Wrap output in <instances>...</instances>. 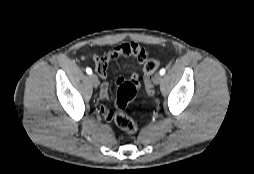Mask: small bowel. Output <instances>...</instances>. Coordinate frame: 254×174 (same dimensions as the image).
Masks as SVG:
<instances>
[{
  "label": "small bowel",
  "mask_w": 254,
  "mask_h": 174,
  "mask_svg": "<svg viewBox=\"0 0 254 174\" xmlns=\"http://www.w3.org/2000/svg\"><path fill=\"white\" fill-rule=\"evenodd\" d=\"M122 56L132 57L136 59L139 64H142L147 58V53L142 47L138 45L130 47V45L128 44H123L109 51L101 57H93V61L96 64L97 71L103 79L100 91V98L103 102V105L101 106V113L106 120H111L113 117V111L106 106V103L108 102L107 68L111 63L117 61ZM129 81L135 83L137 86L139 85L140 77L139 73L136 70L131 73ZM124 82L125 79L123 77H118L116 79L117 85H121Z\"/></svg>",
  "instance_id": "1"
}]
</instances>
